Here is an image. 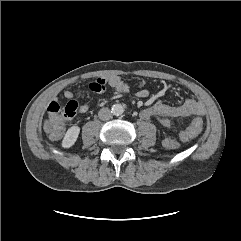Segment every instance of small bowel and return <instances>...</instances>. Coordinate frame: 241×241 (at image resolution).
Instances as JSON below:
<instances>
[{
	"label": "small bowel",
	"mask_w": 241,
	"mask_h": 241,
	"mask_svg": "<svg viewBox=\"0 0 241 241\" xmlns=\"http://www.w3.org/2000/svg\"><path fill=\"white\" fill-rule=\"evenodd\" d=\"M107 82L109 87L117 94H127L129 92L127 84L119 76H110L108 77ZM81 95V93H75L71 90H66L64 92V96L70 101ZM136 96L138 98H146L149 96V91L147 89H140L136 92ZM78 110L80 113H86L90 110V104H81L78 106ZM203 114V105L194 99H187L180 106H171L159 99H153L151 106L143 109L140 113L144 120H150L154 118L155 115H162L171 120L176 118H199ZM180 137L182 140L189 139L184 135L183 132H181Z\"/></svg>",
	"instance_id": "obj_1"
}]
</instances>
